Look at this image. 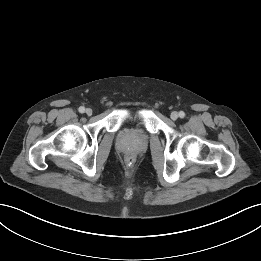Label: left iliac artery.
I'll return each mask as SVG.
<instances>
[{
	"instance_id": "obj_1",
	"label": "left iliac artery",
	"mask_w": 261,
	"mask_h": 261,
	"mask_svg": "<svg viewBox=\"0 0 261 261\" xmlns=\"http://www.w3.org/2000/svg\"><path fill=\"white\" fill-rule=\"evenodd\" d=\"M179 117H180V118H184V117H185V113H184L183 111H180V112H179Z\"/></svg>"
}]
</instances>
